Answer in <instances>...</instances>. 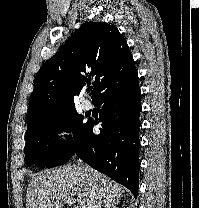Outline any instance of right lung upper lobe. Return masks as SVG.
<instances>
[{
	"label": "right lung upper lobe",
	"instance_id": "1",
	"mask_svg": "<svg viewBox=\"0 0 199 208\" xmlns=\"http://www.w3.org/2000/svg\"><path fill=\"white\" fill-rule=\"evenodd\" d=\"M136 74L124 37L114 25L84 23L35 77L27 131L75 111L74 97L92 84V101Z\"/></svg>",
	"mask_w": 199,
	"mask_h": 208
}]
</instances>
